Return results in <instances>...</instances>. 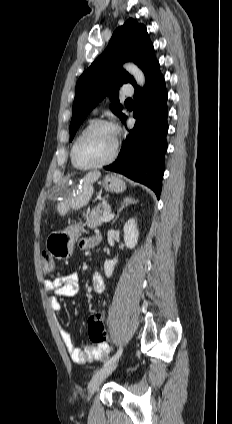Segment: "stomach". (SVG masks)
<instances>
[{"instance_id": "obj_1", "label": "stomach", "mask_w": 232, "mask_h": 424, "mask_svg": "<svg viewBox=\"0 0 232 424\" xmlns=\"http://www.w3.org/2000/svg\"><path fill=\"white\" fill-rule=\"evenodd\" d=\"M102 186L106 191L115 193H122L126 189L125 182L115 175H107L102 181ZM65 191L66 189L62 188L58 191V194ZM82 230L81 224H74L64 231L51 232L45 243L47 251L58 260L68 259L73 253L75 241Z\"/></svg>"}]
</instances>
